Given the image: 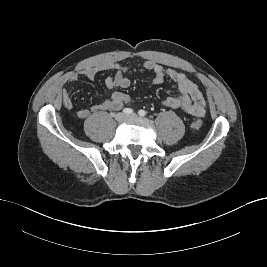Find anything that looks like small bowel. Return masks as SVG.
Returning <instances> with one entry per match:
<instances>
[{"mask_svg":"<svg viewBox=\"0 0 267 267\" xmlns=\"http://www.w3.org/2000/svg\"><path fill=\"white\" fill-rule=\"evenodd\" d=\"M141 67L152 73V83L158 85L163 83L166 78L174 81L180 94L177 96H170L162 101V105L171 109H178L186 114L197 117L204 116L206 112L205 99L198 89L197 85L193 83L186 74L170 69L153 62L145 61ZM129 67L117 62H108L99 66L88 67L81 71V74L88 80H94L96 75L101 71H111L113 74L105 79V86L113 90L115 88H127L130 85V80L127 78L126 73ZM78 79L77 74H71L67 77L68 83H74ZM62 105L65 109L73 107L72 99L67 89L62 91L61 97ZM130 104V98L123 92L113 91L109 98L102 103L95 104L90 108H82L77 112L81 119H86L91 113H97L109 110H118L125 105Z\"/></svg>","mask_w":267,"mask_h":267,"instance_id":"obj_1","label":"small bowel"}]
</instances>
